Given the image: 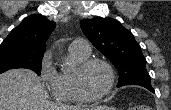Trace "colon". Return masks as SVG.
Here are the masks:
<instances>
[{
  "label": "colon",
  "instance_id": "colon-1",
  "mask_svg": "<svg viewBox=\"0 0 171 110\" xmlns=\"http://www.w3.org/2000/svg\"><path fill=\"white\" fill-rule=\"evenodd\" d=\"M130 110H140V108H138V107H132V108H130Z\"/></svg>",
  "mask_w": 171,
  "mask_h": 110
}]
</instances>
